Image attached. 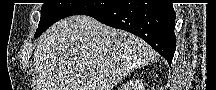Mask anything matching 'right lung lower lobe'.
<instances>
[{
  "label": "right lung lower lobe",
  "instance_id": "right-lung-lower-lobe-1",
  "mask_svg": "<svg viewBox=\"0 0 216 90\" xmlns=\"http://www.w3.org/2000/svg\"><path fill=\"white\" fill-rule=\"evenodd\" d=\"M87 15L139 36L171 64L176 49L173 4H110Z\"/></svg>",
  "mask_w": 216,
  "mask_h": 90
}]
</instances>
